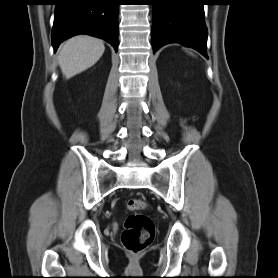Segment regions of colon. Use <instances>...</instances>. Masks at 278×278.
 Returning <instances> with one entry per match:
<instances>
[{
	"mask_svg": "<svg viewBox=\"0 0 278 278\" xmlns=\"http://www.w3.org/2000/svg\"><path fill=\"white\" fill-rule=\"evenodd\" d=\"M146 207V202L139 198L130 199L127 208L130 214L124 223L122 243L126 250L132 254H138L147 248L155 236L153 221L145 214L138 213Z\"/></svg>",
	"mask_w": 278,
	"mask_h": 278,
	"instance_id": "1",
	"label": "colon"
}]
</instances>
